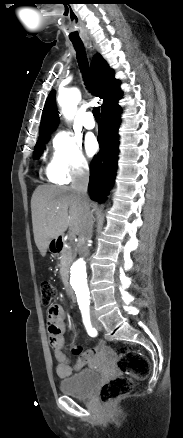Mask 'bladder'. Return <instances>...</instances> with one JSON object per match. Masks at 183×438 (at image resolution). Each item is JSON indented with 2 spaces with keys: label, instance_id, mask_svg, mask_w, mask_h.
Listing matches in <instances>:
<instances>
[{
  "label": "bladder",
  "instance_id": "31cf9c89",
  "mask_svg": "<svg viewBox=\"0 0 183 438\" xmlns=\"http://www.w3.org/2000/svg\"><path fill=\"white\" fill-rule=\"evenodd\" d=\"M100 381V374L94 370H83L60 381L61 392L77 398H88Z\"/></svg>",
  "mask_w": 183,
  "mask_h": 438
}]
</instances>
